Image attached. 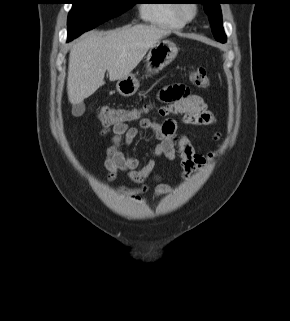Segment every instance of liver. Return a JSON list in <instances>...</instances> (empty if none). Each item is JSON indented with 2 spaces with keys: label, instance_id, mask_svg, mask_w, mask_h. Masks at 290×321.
<instances>
[{
  "label": "liver",
  "instance_id": "liver-1",
  "mask_svg": "<svg viewBox=\"0 0 290 321\" xmlns=\"http://www.w3.org/2000/svg\"><path fill=\"white\" fill-rule=\"evenodd\" d=\"M170 31L156 26L136 25L84 34L69 55L67 93L72 104L83 102L110 81L130 75L147 51Z\"/></svg>",
  "mask_w": 290,
  "mask_h": 321
}]
</instances>
